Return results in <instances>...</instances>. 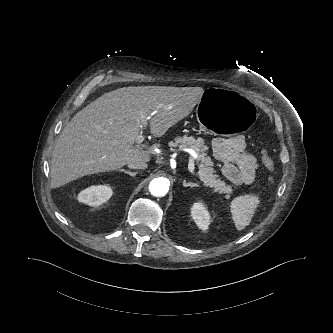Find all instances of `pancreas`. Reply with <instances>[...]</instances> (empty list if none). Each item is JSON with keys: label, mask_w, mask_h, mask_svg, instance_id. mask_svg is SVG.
Masks as SVG:
<instances>
[{"label": "pancreas", "mask_w": 333, "mask_h": 333, "mask_svg": "<svg viewBox=\"0 0 333 333\" xmlns=\"http://www.w3.org/2000/svg\"><path fill=\"white\" fill-rule=\"evenodd\" d=\"M173 147H189L193 149L198 155V175L206 186L213 188L215 192L219 193H230L232 187L226 185L221 179H217V175L214 174L212 168L213 162L209 156H207V146L204 145L202 139H195L192 136H183L175 138L174 142L171 143Z\"/></svg>", "instance_id": "1"}]
</instances>
